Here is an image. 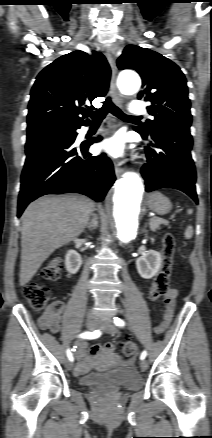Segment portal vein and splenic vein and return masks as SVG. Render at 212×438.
I'll list each match as a JSON object with an SVG mask.
<instances>
[{
    "mask_svg": "<svg viewBox=\"0 0 212 438\" xmlns=\"http://www.w3.org/2000/svg\"><path fill=\"white\" fill-rule=\"evenodd\" d=\"M159 221L163 224H168V220L160 218Z\"/></svg>",
    "mask_w": 212,
    "mask_h": 438,
    "instance_id": "portal-vein-and-splenic-vein-1",
    "label": "portal vein and splenic vein"
}]
</instances>
